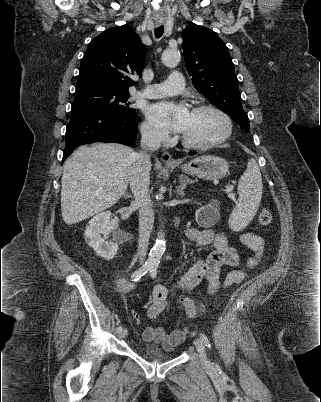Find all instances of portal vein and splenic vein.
<instances>
[{
  "mask_svg": "<svg viewBox=\"0 0 321 402\" xmlns=\"http://www.w3.org/2000/svg\"><path fill=\"white\" fill-rule=\"evenodd\" d=\"M232 190H233V186H229L226 188L225 192L227 193L228 197L234 199L235 195L231 193Z\"/></svg>",
  "mask_w": 321,
  "mask_h": 402,
  "instance_id": "1",
  "label": "portal vein and splenic vein"
}]
</instances>
